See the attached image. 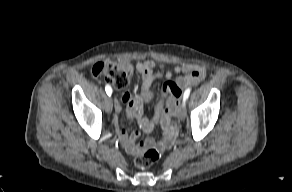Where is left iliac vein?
Wrapping results in <instances>:
<instances>
[{"mask_svg":"<svg viewBox=\"0 0 292 192\" xmlns=\"http://www.w3.org/2000/svg\"><path fill=\"white\" fill-rule=\"evenodd\" d=\"M185 116H186V106L183 103L181 105V107L179 108V111H178V119L179 120H184L185 119Z\"/></svg>","mask_w":292,"mask_h":192,"instance_id":"obj_1","label":"left iliac vein"}]
</instances>
